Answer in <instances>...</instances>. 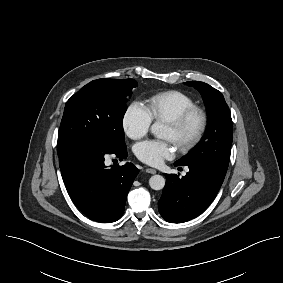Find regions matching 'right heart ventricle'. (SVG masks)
<instances>
[{
  "mask_svg": "<svg viewBox=\"0 0 283 283\" xmlns=\"http://www.w3.org/2000/svg\"><path fill=\"white\" fill-rule=\"evenodd\" d=\"M194 105L193 99L179 90L156 93L146 100V109L155 122L170 120Z\"/></svg>",
  "mask_w": 283,
  "mask_h": 283,
  "instance_id": "e07e8e85",
  "label": "right heart ventricle"
}]
</instances>
